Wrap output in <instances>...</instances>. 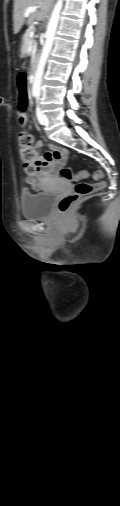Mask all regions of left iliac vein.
Here are the masks:
<instances>
[{"instance_id":"obj_1","label":"left iliac vein","mask_w":120,"mask_h":506,"mask_svg":"<svg viewBox=\"0 0 120 506\" xmlns=\"http://www.w3.org/2000/svg\"><path fill=\"white\" fill-rule=\"evenodd\" d=\"M36 115H37L38 122L41 125H45L46 124V118H45L44 114L41 112V110H40L39 107H37V109H36Z\"/></svg>"}]
</instances>
